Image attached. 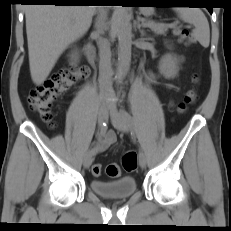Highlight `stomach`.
I'll return each mask as SVG.
<instances>
[{
  "mask_svg": "<svg viewBox=\"0 0 231 231\" xmlns=\"http://www.w3.org/2000/svg\"><path fill=\"white\" fill-rule=\"evenodd\" d=\"M143 13H148V10H146L145 8H142L141 10Z\"/></svg>",
  "mask_w": 231,
  "mask_h": 231,
  "instance_id": "1",
  "label": "stomach"
}]
</instances>
